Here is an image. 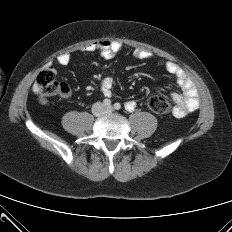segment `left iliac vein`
<instances>
[{
    "label": "left iliac vein",
    "mask_w": 232,
    "mask_h": 232,
    "mask_svg": "<svg viewBox=\"0 0 232 232\" xmlns=\"http://www.w3.org/2000/svg\"><path fill=\"white\" fill-rule=\"evenodd\" d=\"M113 110V107L112 106H108L105 108V111L107 112H111Z\"/></svg>",
    "instance_id": "1"
}]
</instances>
